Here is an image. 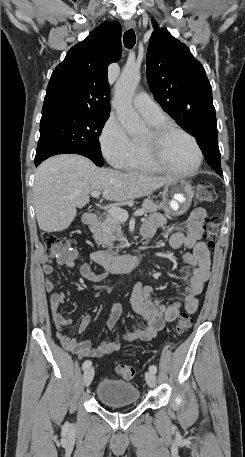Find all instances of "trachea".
<instances>
[{
	"instance_id": "1",
	"label": "trachea",
	"mask_w": 245,
	"mask_h": 457,
	"mask_svg": "<svg viewBox=\"0 0 245 457\" xmlns=\"http://www.w3.org/2000/svg\"><path fill=\"white\" fill-rule=\"evenodd\" d=\"M123 42L126 48L134 47L136 43V36L134 30H127L123 35Z\"/></svg>"
}]
</instances>
